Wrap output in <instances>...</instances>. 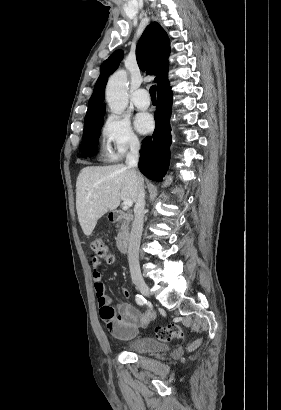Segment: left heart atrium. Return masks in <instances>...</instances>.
I'll use <instances>...</instances> for the list:
<instances>
[{
    "mask_svg": "<svg viewBox=\"0 0 281 410\" xmlns=\"http://www.w3.org/2000/svg\"><path fill=\"white\" fill-rule=\"evenodd\" d=\"M136 127L141 133H147L153 128V120L150 115L142 114L136 120Z\"/></svg>",
    "mask_w": 281,
    "mask_h": 410,
    "instance_id": "1",
    "label": "left heart atrium"
}]
</instances>
